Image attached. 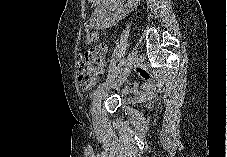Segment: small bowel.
<instances>
[{
	"label": "small bowel",
	"mask_w": 227,
	"mask_h": 157,
	"mask_svg": "<svg viewBox=\"0 0 227 157\" xmlns=\"http://www.w3.org/2000/svg\"><path fill=\"white\" fill-rule=\"evenodd\" d=\"M104 66H105V61L102 60L96 70V78L103 74L104 72ZM137 74L139 78L142 81V85L139 86L137 83H134L132 85H129L124 88L123 93L126 95H134L137 99L141 101H145L150 99L156 90L155 84L151 81L149 75L146 73V71L142 69H137ZM96 83V79L92 86ZM91 86V87H92Z\"/></svg>",
	"instance_id": "small-bowel-1"
}]
</instances>
